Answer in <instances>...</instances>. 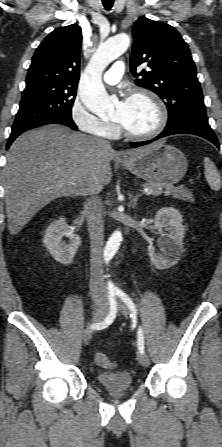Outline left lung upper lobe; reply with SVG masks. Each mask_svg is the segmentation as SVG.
<instances>
[{"mask_svg": "<svg viewBox=\"0 0 222 447\" xmlns=\"http://www.w3.org/2000/svg\"><path fill=\"white\" fill-rule=\"evenodd\" d=\"M132 33L130 70L142 77L135 84L165 101L168 124L185 118L209 126L196 67L179 32L166 23L141 17L134 23ZM141 64H147L149 69L137 73Z\"/></svg>", "mask_w": 222, "mask_h": 447, "instance_id": "left-lung-upper-lobe-1", "label": "left lung upper lobe"}]
</instances>
